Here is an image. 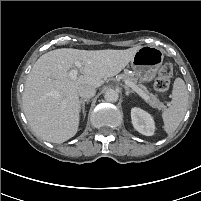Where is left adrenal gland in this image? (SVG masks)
Returning a JSON list of instances; mask_svg holds the SVG:
<instances>
[{
    "label": "left adrenal gland",
    "instance_id": "left-adrenal-gland-1",
    "mask_svg": "<svg viewBox=\"0 0 201 201\" xmlns=\"http://www.w3.org/2000/svg\"><path fill=\"white\" fill-rule=\"evenodd\" d=\"M125 89H126V95L127 96H129V94L133 92L127 86H125Z\"/></svg>",
    "mask_w": 201,
    "mask_h": 201
}]
</instances>
